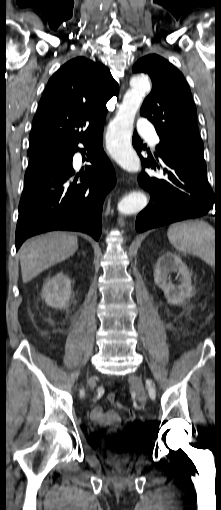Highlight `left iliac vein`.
I'll return each instance as SVG.
<instances>
[{"instance_id":"4c4485c4","label":"left iliac vein","mask_w":221,"mask_h":510,"mask_svg":"<svg viewBox=\"0 0 221 510\" xmlns=\"http://www.w3.org/2000/svg\"><path fill=\"white\" fill-rule=\"evenodd\" d=\"M148 381L151 383V386L155 390L154 385L152 384V381L151 380H148ZM129 382H130L132 388L136 391L137 397L140 400V402L143 404L146 403L147 395H146V391L143 386L142 380L139 377H137L136 375H131L129 377Z\"/></svg>"}]
</instances>
